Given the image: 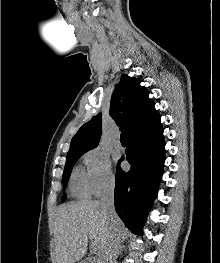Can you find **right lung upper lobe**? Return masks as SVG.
<instances>
[{"mask_svg":"<svg viewBox=\"0 0 220 263\" xmlns=\"http://www.w3.org/2000/svg\"><path fill=\"white\" fill-rule=\"evenodd\" d=\"M110 116L117 125H122L121 130L127 133V140L162 126L149 91L140 85L138 78L126 74L122 75L112 94ZM100 134L101 114H98L81 126L71 140L68 154L85 153L95 148Z\"/></svg>","mask_w":220,"mask_h":263,"instance_id":"right-lung-upper-lobe-1","label":"right lung upper lobe"}]
</instances>
